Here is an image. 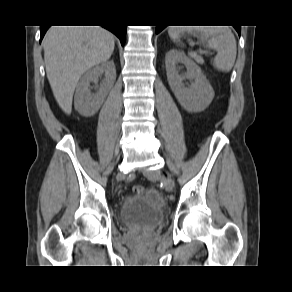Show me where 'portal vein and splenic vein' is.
Here are the masks:
<instances>
[{
    "instance_id": "portal-vein-and-splenic-vein-1",
    "label": "portal vein and splenic vein",
    "mask_w": 292,
    "mask_h": 292,
    "mask_svg": "<svg viewBox=\"0 0 292 292\" xmlns=\"http://www.w3.org/2000/svg\"><path fill=\"white\" fill-rule=\"evenodd\" d=\"M200 52H202V53H205V54H207V53H208L207 51H203V50H200Z\"/></svg>"
}]
</instances>
